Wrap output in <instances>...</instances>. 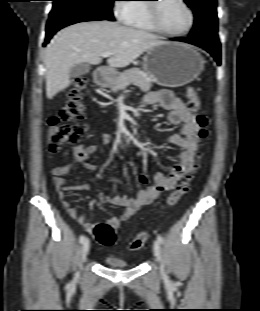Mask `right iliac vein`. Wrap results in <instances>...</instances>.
Returning <instances> with one entry per match:
<instances>
[{"label": "right iliac vein", "instance_id": "right-iliac-vein-1", "mask_svg": "<svg viewBox=\"0 0 260 311\" xmlns=\"http://www.w3.org/2000/svg\"><path fill=\"white\" fill-rule=\"evenodd\" d=\"M89 249H90V241L89 239H86L81 246L80 252L81 261L85 260L86 256L88 255Z\"/></svg>", "mask_w": 260, "mask_h": 311}]
</instances>
